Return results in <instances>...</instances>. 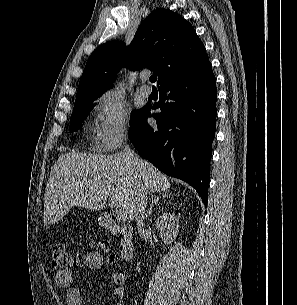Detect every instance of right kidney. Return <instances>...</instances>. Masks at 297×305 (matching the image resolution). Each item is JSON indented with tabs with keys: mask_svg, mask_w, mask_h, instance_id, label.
I'll return each instance as SVG.
<instances>
[{
	"mask_svg": "<svg viewBox=\"0 0 297 305\" xmlns=\"http://www.w3.org/2000/svg\"><path fill=\"white\" fill-rule=\"evenodd\" d=\"M179 218L180 214L178 217H176L174 214L170 213H164L158 218L156 222V228L165 244H170L173 242L174 238H176L179 228Z\"/></svg>",
	"mask_w": 297,
	"mask_h": 305,
	"instance_id": "obj_1",
	"label": "right kidney"
}]
</instances>
